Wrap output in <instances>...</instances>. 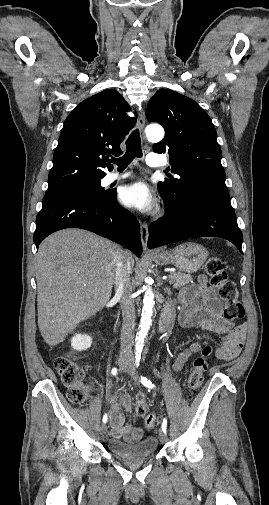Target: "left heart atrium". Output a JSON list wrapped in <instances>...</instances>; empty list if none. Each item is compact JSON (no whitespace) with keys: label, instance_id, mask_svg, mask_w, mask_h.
Masks as SVG:
<instances>
[{"label":"left heart atrium","instance_id":"obj_1","mask_svg":"<svg viewBox=\"0 0 269 505\" xmlns=\"http://www.w3.org/2000/svg\"><path fill=\"white\" fill-rule=\"evenodd\" d=\"M121 202L129 208L147 212L155 205V198L144 182H136L124 187L120 193Z\"/></svg>","mask_w":269,"mask_h":505}]
</instances>
